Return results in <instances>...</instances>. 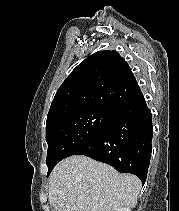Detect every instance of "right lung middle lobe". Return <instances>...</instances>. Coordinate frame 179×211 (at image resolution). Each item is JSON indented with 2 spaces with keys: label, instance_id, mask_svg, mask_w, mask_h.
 <instances>
[{
  "label": "right lung middle lobe",
  "instance_id": "1",
  "mask_svg": "<svg viewBox=\"0 0 179 211\" xmlns=\"http://www.w3.org/2000/svg\"><path fill=\"white\" fill-rule=\"evenodd\" d=\"M115 110L90 108L70 113L46 125L48 175L62 159L74 155L105 129Z\"/></svg>",
  "mask_w": 179,
  "mask_h": 211
}]
</instances>
